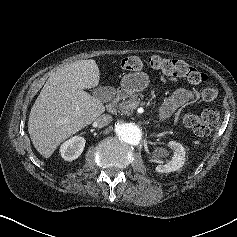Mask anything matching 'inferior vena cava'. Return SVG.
Returning a JSON list of instances; mask_svg holds the SVG:
<instances>
[{
	"label": "inferior vena cava",
	"instance_id": "1",
	"mask_svg": "<svg viewBox=\"0 0 237 237\" xmlns=\"http://www.w3.org/2000/svg\"><path fill=\"white\" fill-rule=\"evenodd\" d=\"M113 120L112 116L109 114L100 115L94 122L96 127L102 128L108 125Z\"/></svg>",
	"mask_w": 237,
	"mask_h": 237
}]
</instances>
